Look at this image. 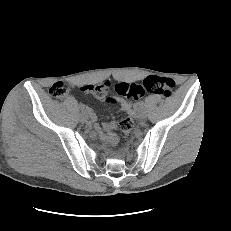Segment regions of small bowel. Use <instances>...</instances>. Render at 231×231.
Returning <instances> with one entry per match:
<instances>
[{
	"label": "small bowel",
	"mask_w": 231,
	"mask_h": 231,
	"mask_svg": "<svg viewBox=\"0 0 231 231\" xmlns=\"http://www.w3.org/2000/svg\"><path fill=\"white\" fill-rule=\"evenodd\" d=\"M104 83L86 84V85L81 86V90L83 92L93 93L97 96L102 97L103 94L100 92L98 87ZM108 102L118 103L123 111L129 113L130 115H135L134 105H132L130 102L126 100L119 99V98H109ZM116 127H117V124L115 122H109V123L104 124L103 126H100L98 124L96 125V129L100 132L102 139L105 142L110 143V144H116L118 142L117 136L113 133V129H115Z\"/></svg>",
	"instance_id": "c3829d8e"
}]
</instances>
